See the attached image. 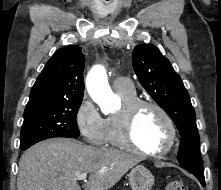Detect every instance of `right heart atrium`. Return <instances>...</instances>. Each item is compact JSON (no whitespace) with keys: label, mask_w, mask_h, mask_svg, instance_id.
Here are the masks:
<instances>
[{"label":"right heart atrium","mask_w":221,"mask_h":190,"mask_svg":"<svg viewBox=\"0 0 221 190\" xmlns=\"http://www.w3.org/2000/svg\"><path fill=\"white\" fill-rule=\"evenodd\" d=\"M75 124L84 140L93 146H103L107 139L106 119L92 100L84 96L75 113Z\"/></svg>","instance_id":"d8ad5b80"}]
</instances>
